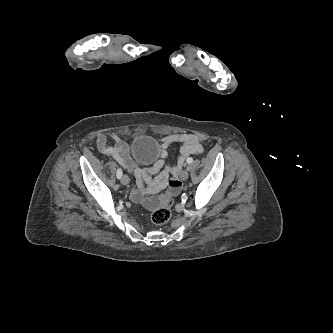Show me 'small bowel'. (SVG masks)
Wrapping results in <instances>:
<instances>
[{"label": "small bowel", "instance_id": "obj_1", "mask_svg": "<svg viewBox=\"0 0 333 333\" xmlns=\"http://www.w3.org/2000/svg\"><path fill=\"white\" fill-rule=\"evenodd\" d=\"M111 139L113 140L112 145L109 144V137L106 134L101 133L98 135L97 147L99 152L113 158L118 164L134 176L136 186L133 187L130 192L131 199L137 203H144L146 205L153 204L154 200L145 193L143 189L144 183L149 185L168 184L171 188L177 190L180 186L178 177L181 170L185 167L186 159L191 155L200 154L204 150L199 137L195 134L182 133L163 136L160 139V158L156 161L152 169L146 171L140 167L136 160L129 157V146L125 141L117 135H112ZM175 143L180 144V156L175 164H169L166 161L167 149ZM159 171L160 175L157 180L152 179L151 174ZM169 177H172V179L169 180Z\"/></svg>", "mask_w": 333, "mask_h": 333}]
</instances>
